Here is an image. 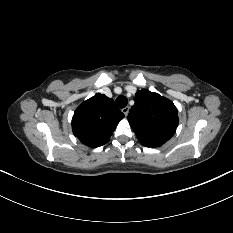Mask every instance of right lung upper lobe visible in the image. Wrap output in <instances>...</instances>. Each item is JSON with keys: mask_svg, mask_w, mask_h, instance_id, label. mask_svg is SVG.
Returning a JSON list of instances; mask_svg holds the SVG:
<instances>
[{"mask_svg": "<svg viewBox=\"0 0 233 233\" xmlns=\"http://www.w3.org/2000/svg\"><path fill=\"white\" fill-rule=\"evenodd\" d=\"M123 117L124 114L112 99L97 93L76 109L72 118V130L84 145L96 148L109 141Z\"/></svg>", "mask_w": 233, "mask_h": 233, "instance_id": "right-lung-upper-lobe-1", "label": "right lung upper lobe"}]
</instances>
